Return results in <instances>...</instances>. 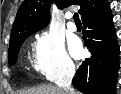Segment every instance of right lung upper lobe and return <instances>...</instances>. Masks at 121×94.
I'll return each instance as SVG.
<instances>
[{
    "mask_svg": "<svg viewBox=\"0 0 121 94\" xmlns=\"http://www.w3.org/2000/svg\"><path fill=\"white\" fill-rule=\"evenodd\" d=\"M59 9L70 5H79L81 17H85L98 8L107 0H54ZM52 0H24L20 5L11 31V40L27 30H41L50 21V6Z\"/></svg>",
    "mask_w": 121,
    "mask_h": 94,
    "instance_id": "obj_1",
    "label": "right lung upper lobe"
}]
</instances>
